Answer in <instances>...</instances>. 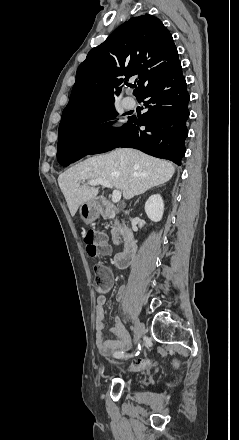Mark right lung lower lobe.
<instances>
[{
    "label": "right lung lower lobe",
    "mask_w": 239,
    "mask_h": 440,
    "mask_svg": "<svg viewBox=\"0 0 239 440\" xmlns=\"http://www.w3.org/2000/svg\"><path fill=\"white\" fill-rule=\"evenodd\" d=\"M137 99L145 100L146 113L129 117L121 129L106 134L94 144L62 147L57 152L58 162L67 166L88 154L132 147L180 165L188 135L186 121L190 99L180 61L170 72L147 86ZM141 126H145V130H140Z\"/></svg>",
    "instance_id": "right-lung-lower-lobe-1"
}]
</instances>
